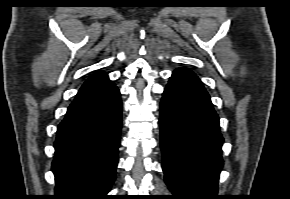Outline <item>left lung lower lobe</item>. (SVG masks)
I'll return each mask as SVG.
<instances>
[{
    "instance_id": "left-lung-lower-lobe-1",
    "label": "left lung lower lobe",
    "mask_w": 290,
    "mask_h": 199,
    "mask_svg": "<svg viewBox=\"0 0 290 199\" xmlns=\"http://www.w3.org/2000/svg\"><path fill=\"white\" fill-rule=\"evenodd\" d=\"M219 118L194 72L176 69L160 105L162 168L181 199H215L223 160Z\"/></svg>"
}]
</instances>
